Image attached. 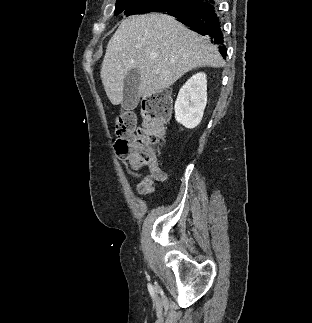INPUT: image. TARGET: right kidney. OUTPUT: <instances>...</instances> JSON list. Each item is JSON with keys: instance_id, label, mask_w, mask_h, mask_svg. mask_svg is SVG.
Returning a JSON list of instances; mask_svg holds the SVG:
<instances>
[{"instance_id": "right-kidney-1", "label": "right kidney", "mask_w": 312, "mask_h": 323, "mask_svg": "<svg viewBox=\"0 0 312 323\" xmlns=\"http://www.w3.org/2000/svg\"><path fill=\"white\" fill-rule=\"evenodd\" d=\"M207 104V80L204 72L194 74L179 90L175 102V118L185 128L200 124Z\"/></svg>"}]
</instances>
